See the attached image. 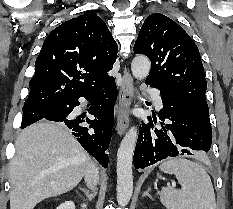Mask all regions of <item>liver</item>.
Wrapping results in <instances>:
<instances>
[{"label":"liver","instance_id":"6515ba94","mask_svg":"<svg viewBox=\"0 0 233 209\" xmlns=\"http://www.w3.org/2000/svg\"><path fill=\"white\" fill-rule=\"evenodd\" d=\"M10 162V209H33L46 198L76 187L91 159L62 124L39 122L15 141Z\"/></svg>","mask_w":233,"mask_h":209}]
</instances>
